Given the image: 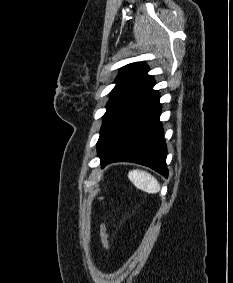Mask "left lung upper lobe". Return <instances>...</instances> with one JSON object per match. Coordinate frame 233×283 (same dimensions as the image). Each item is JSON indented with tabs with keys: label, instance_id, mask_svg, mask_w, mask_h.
I'll use <instances>...</instances> for the list:
<instances>
[{
	"label": "left lung upper lobe",
	"instance_id": "obj_1",
	"mask_svg": "<svg viewBox=\"0 0 233 283\" xmlns=\"http://www.w3.org/2000/svg\"><path fill=\"white\" fill-rule=\"evenodd\" d=\"M148 70V66L142 62L131 63L121 68L115 80L116 86L110 93L106 113L103 115L97 149H100L119 121L136 103L153 79L147 74Z\"/></svg>",
	"mask_w": 233,
	"mask_h": 283
}]
</instances>
